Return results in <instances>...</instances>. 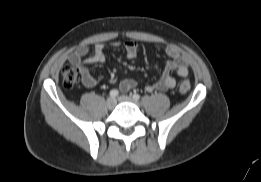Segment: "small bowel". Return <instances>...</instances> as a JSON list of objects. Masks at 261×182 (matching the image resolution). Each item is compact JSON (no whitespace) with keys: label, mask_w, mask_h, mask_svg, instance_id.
<instances>
[{"label":"small bowel","mask_w":261,"mask_h":182,"mask_svg":"<svg viewBox=\"0 0 261 182\" xmlns=\"http://www.w3.org/2000/svg\"><path fill=\"white\" fill-rule=\"evenodd\" d=\"M120 42L111 43H95L93 54L87 56L89 51L88 45H83L68 56V61L77 67L82 75V83L85 87L91 88L97 84V79L90 73L89 66L95 63H103L106 60L105 49L107 47H119ZM128 59H135L139 52V45L134 40H128L123 44ZM167 56L170 58L166 62L162 76L156 83L148 84L145 90L152 92L154 90H167L175 86V79L172 73H176L180 77H186L189 73L188 58L183 55L176 47L167 46L165 49ZM137 86L134 79L128 78L120 82L119 88L121 91H129Z\"/></svg>","instance_id":"obj_1"}]
</instances>
